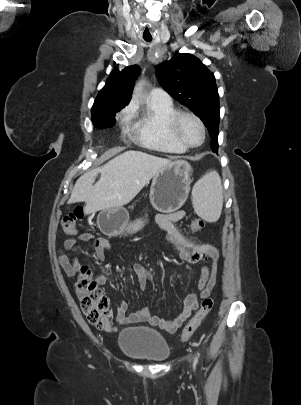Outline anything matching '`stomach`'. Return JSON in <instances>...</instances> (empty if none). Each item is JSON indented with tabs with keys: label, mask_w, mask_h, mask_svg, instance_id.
<instances>
[{
	"label": "stomach",
	"mask_w": 301,
	"mask_h": 405,
	"mask_svg": "<svg viewBox=\"0 0 301 405\" xmlns=\"http://www.w3.org/2000/svg\"><path fill=\"white\" fill-rule=\"evenodd\" d=\"M192 172V166L187 160L169 161L153 177L149 194L152 206L163 213H172L180 209L189 195ZM98 224L106 233L118 235L125 231L136 233L144 226L145 220L129 222L128 213L118 208L101 212Z\"/></svg>",
	"instance_id": "0dacf381"
}]
</instances>
